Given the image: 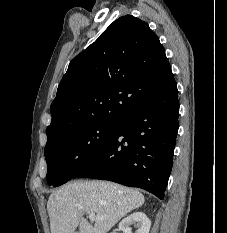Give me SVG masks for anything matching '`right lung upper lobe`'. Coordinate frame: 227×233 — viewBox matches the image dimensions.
<instances>
[{
	"label": "right lung upper lobe",
	"instance_id": "1",
	"mask_svg": "<svg viewBox=\"0 0 227 233\" xmlns=\"http://www.w3.org/2000/svg\"><path fill=\"white\" fill-rule=\"evenodd\" d=\"M174 82L157 35L122 16L70 62L50 107L48 140L87 123L120 121Z\"/></svg>",
	"mask_w": 227,
	"mask_h": 233
}]
</instances>
